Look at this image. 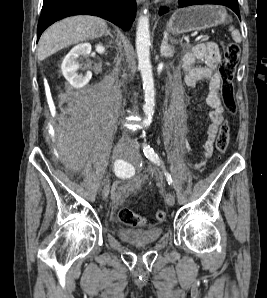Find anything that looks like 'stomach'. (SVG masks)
<instances>
[{
  "instance_id": "obj_1",
  "label": "stomach",
  "mask_w": 267,
  "mask_h": 298,
  "mask_svg": "<svg viewBox=\"0 0 267 298\" xmlns=\"http://www.w3.org/2000/svg\"><path fill=\"white\" fill-rule=\"evenodd\" d=\"M229 21L226 10L214 5H195L177 10L166 24V30L178 35L200 31Z\"/></svg>"
}]
</instances>
